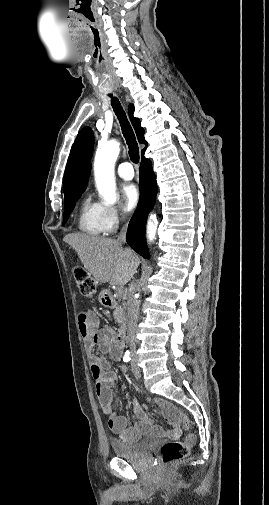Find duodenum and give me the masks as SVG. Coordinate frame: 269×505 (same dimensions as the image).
Masks as SVG:
<instances>
[{
  "instance_id": "obj_1",
  "label": "duodenum",
  "mask_w": 269,
  "mask_h": 505,
  "mask_svg": "<svg viewBox=\"0 0 269 505\" xmlns=\"http://www.w3.org/2000/svg\"><path fill=\"white\" fill-rule=\"evenodd\" d=\"M101 300L106 307L111 308L115 305V300L113 296L108 292L102 293ZM125 338H126V324L122 323L116 332V340L121 347H123L125 344Z\"/></svg>"
}]
</instances>
